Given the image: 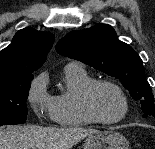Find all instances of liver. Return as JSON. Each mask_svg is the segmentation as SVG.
<instances>
[{
    "label": "liver",
    "instance_id": "obj_1",
    "mask_svg": "<svg viewBox=\"0 0 155 149\" xmlns=\"http://www.w3.org/2000/svg\"><path fill=\"white\" fill-rule=\"evenodd\" d=\"M98 132L82 127L48 128L34 125L0 127V149H71Z\"/></svg>",
    "mask_w": 155,
    "mask_h": 149
}]
</instances>
